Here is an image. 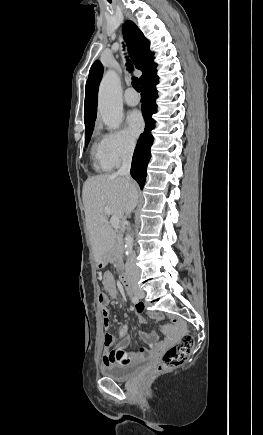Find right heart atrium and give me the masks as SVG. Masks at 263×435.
Wrapping results in <instances>:
<instances>
[{"instance_id":"d8ad5b80","label":"right heart atrium","mask_w":263,"mask_h":435,"mask_svg":"<svg viewBox=\"0 0 263 435\" xmlns=\"http://www.w3.org/2000/svg\"><path fill=\"white\" fill-rule=\"evenodd\" d=\"M102 141L106 154L114 166L129 159L135 150V140L123 129L105 133Z\"/></svg>"}]
</instances>
